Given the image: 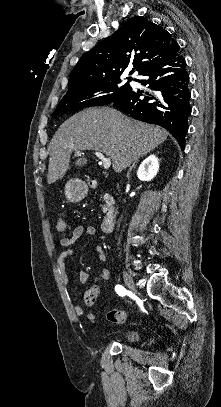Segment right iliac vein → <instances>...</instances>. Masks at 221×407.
I'll return each mask as SVG.
<instances>
[{
	"instance_id": "obj_1",
	"label": "right iliac vein",
	"mask_w": 221,
	"mask_h": 407,
	"mask_svg": "<svg viewBox=\"0 0 221 407\" xmlns=\"http://www.w3.org/2000/svg\"><path fill=\"white\" fill-rule=\"evenodd\" d=\"M123 277H124L125 284L128 287V289L130 290V292H132L133 294H136L137 291H136V288H135V285L133 282L132 275L128 271H124Z\"/></svg>"
}]
</instances>
